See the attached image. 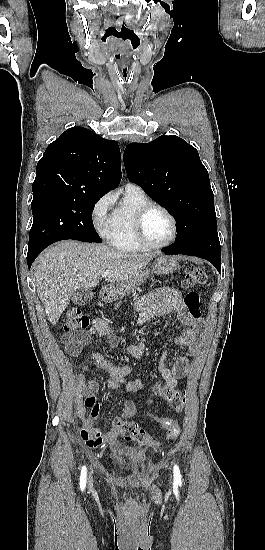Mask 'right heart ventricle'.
Returning <instances> with one entry per match:
<instances>
[{
  "label": "right heart ventricle",
  "instance_id": "e07e8e85",
  "mask_svg": "<svg viewBox=\"0 0 265 550\" xmlns=\"http://www.w3.org/2000/svg\"><path fill=\"white\" fill-rule=\"evenodd\" d=\"M151 203L147 195L138 188H125L122 200L114 208L107 222L105 237L108 243L122 252H138L144 249L134 231L137 212Z\"/></svg>",
  "mask_w": 265,
  "mask_h": 550
}]
</instances>
